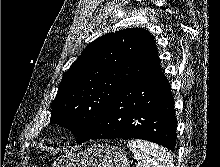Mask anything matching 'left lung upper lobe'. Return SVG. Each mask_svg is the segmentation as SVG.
Instances as JSON below:
<instances>
[{"label": "left lung upper lobe", "instance_id": "5c2ea615", "mask_svg": "<svg viewBox=\"0 0 220 167\" xmlns=\"http://www.w3.org/2000/svg\"><path fill=\"white\" fill-rule=\"evenodd\" d=\"M160 65L154 37L143 28L105 34L89 44L64 74L51 103V123L80 142L92 136L121 88Z\"/></svg>", "mask_w": 220, "mask_h": 167}]
</instances>
